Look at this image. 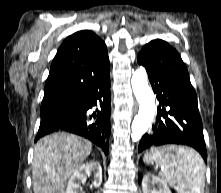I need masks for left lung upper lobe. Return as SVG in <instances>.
<instances>
[{
  "label": "left lung upper lobe",
  "mask_w": 221,
  "mask_h": 193,
  "mask_svg": "<svg viewBox=\"0 0 221 193\" xmlns=\"http://www.w3.org/2000/svg\"><path fill=\"white\" fill-rule=\"evenodd\" d=\"M153 42H156V43L163 44V45H165V46L171 47L168 43H166V42L163 41V40H153ZM173 118H175V117H173ZM173 118H172V119H173Z\"/></svg>",
  "instance_id": "obj_1"
}]
</instances>
